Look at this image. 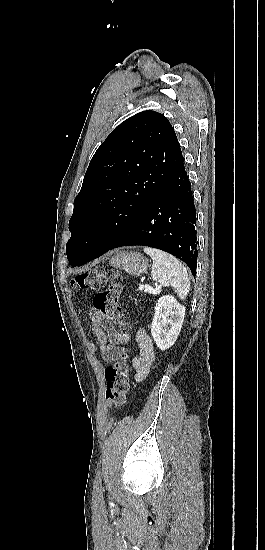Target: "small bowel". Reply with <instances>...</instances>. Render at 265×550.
I'll return each instance as SVG.
<instances>
[{
  "label": "small bowel",
  "mask_w": 265,
  "mask_h": 550,
  "mask_svg": "<svg viewBox=\"0 0 265 550\" xmlns=\"http://www.w3.org/2000/svg\"><path fill=\"white\" fill-rule=\"evenodd\" d=\"M89 324L100 351L101 361L98 368L106 370L105 364L114 362L123 356L125 352L123 345L128 341V334L117 331L99 312L90 314ZM136 342L139 353L133 358L132 363L135 369L134 379L139 382L147 376L155 360V351L151 338L143 330L137 332Z\"/></svg>",
  "instance_id": "obj_1"
}]
</instances>
